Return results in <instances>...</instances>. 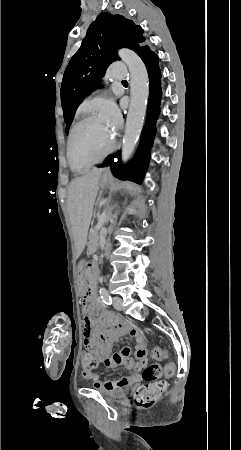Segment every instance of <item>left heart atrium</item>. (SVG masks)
I'll list each match as a JSON object with an SVG mask.
<instances>
[{
  "instance_id": "left-heart-atrium-1",
  "label": "left heart atrium",
  "mask_w": 241,
  "mask_h": 450,
  "mask_svg": "<svg viewBox=\"0 0 241 450\" xmlns=\"http://www.w3.org/2000/svg\"><path fill=\"white\" fill-rule=\"evenodd\" d=\"M106 111L109 114L111 123L115 127H118L121 124V117L118 110L114 106L108 105Z\"/></svg>"
}]
</instances>
